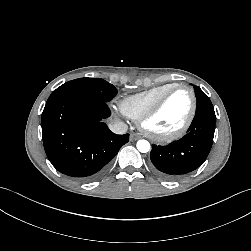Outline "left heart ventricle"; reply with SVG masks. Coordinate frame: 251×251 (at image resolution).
Returning a JSON list of instances; mask_svg holds the SVG:
<instances>
[{"label": "left heart ventricle", "mask_w": 251, "mask_h": 251, "mask_svg": "<svg viewBox=\"0 0 251 251\" xmlns=\"http://www.w3.org/2000/svg\"><path fill=\"white\" fill-rule=\"evenodd\" d=\"M192 105L189 91L173 92L160 111L148 122V128L157 134H168L179 129L186 121Z\"/></svg>", "instance_id": "left-heart-ventricle-1"}]
</instances>
